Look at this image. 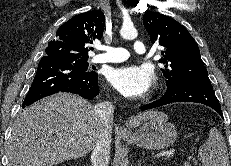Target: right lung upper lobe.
I'll use <instances>...</instances> for the list:
<instances>
[{
    "instance_id": "1",
    "label": "right lung upper lobe",
    "mask_w": 231,
    "mask_h": 166,
    "mask_svg": "<svg viewBox=\"0 0 231 166\" xmlns=\"http://www.w3.org/2000/svg\"><path fill=\"white\" fill-rule=\"evenodd\" d=\"M105 17L99 10L81 13L65 22L46 48V56L57 59H87L90 44L101 39Z\"/></svg>"
}]
</instances>
